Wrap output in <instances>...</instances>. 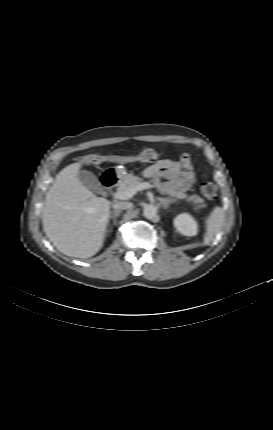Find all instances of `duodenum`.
<instances>
[{
  "label": "duodenum",
  "instance_id": "duodenum-1",
  "mask_svg": "<svg viewBox=\"0 0 273 430\" xmlns=\"http://www.w3.org/2000/svg\"><path fill=\"white\" fill-rule=\"evenodd\" d=\"M118 180V176L111 171L105 172L101 177V182L107 189L114 188L117 185Z\"/></svg>",
  "mask_w": 273,
  "mask_h": 430
}]
</instances>
